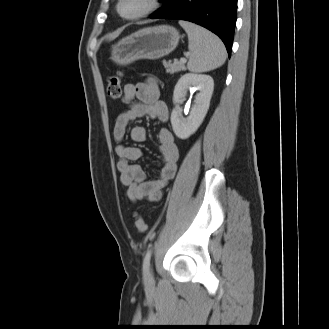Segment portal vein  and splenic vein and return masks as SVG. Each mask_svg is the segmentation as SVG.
<instances>
[{"mask_svg": "<svg viewBox=\"0 0 329 329\" xmlns=\"http://www.w3.org/2000/svg\"><path fill=\"white\" fill-rule=\"evenodd\" d=\"M186 58H184V57H182V58H180V62H182V63H186Z\"/></svg>", "mask_w": 329, "mask_h": 329, "instance_id": "1", "label": "portal vein and splenic vein"}]
</instances>
